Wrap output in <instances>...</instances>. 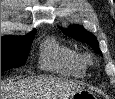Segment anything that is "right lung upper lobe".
I'll return each mask as SVG.
<instances>
[{
  "label": "right lung upper lobe",
  "mask_w": 115,
  "mask_h": 99,
  "mask_svg": "<svg viewBox=\"0 0 115 99\" xmlns=\"http://www.w3.org/2000/svg\"><path fill=\"white\" fill-rule=\"evenodd\" d=\"M36 32V30H33L32 32H30L28 35L34 34ZM6 37H15V36H6Z\"/></svg>",
  "instance_id": "right-lung-upper-lobe-1"
}]
</instances>
